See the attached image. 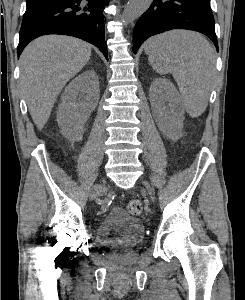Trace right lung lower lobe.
I'll use <instances>...</instances> for the list:
<instances>
[{
  "label": "right lung lower lobe",
  "instance_id": "obj_1",
  "mask_svg": "<svg viewBox=\"0 0 245 300\" xmlns=\"http://www.w3.org/2000/svg\"><path fill=\"white\" fill-rule=\"evenodd\" d=\"M109 0H46L27 7L20 29L18 56L33 39L62 34L97 46L108 60L102 8Z\"/></svg>",
  "mask_w": 245,
  "mask_h": 300
}]
</instances>
